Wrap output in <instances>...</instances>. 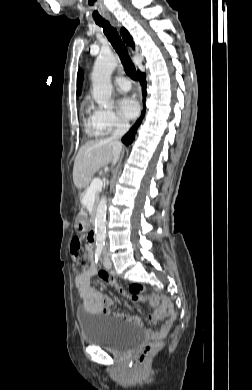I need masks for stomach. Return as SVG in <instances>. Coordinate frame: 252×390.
Returning a JSON list of instances; mask_svg holds the SVG:
<instances>
[{"mask_svg": "<svg viewBox=\"0 0 252 390\" xmlns=\"http://www.w3.org/2000/svg\"><path fill=\"white\" fill-rule=\"evenodd\" d=\"M75 228H76L78 231H83V230H85V228H86L85 219L82 218V217H78V219H77V221H76V224H75Z\"/></svg>", "mask_w": 252, "mask_h": 390, "instance_id": "1", "label": "stomach"}]
</instances>
